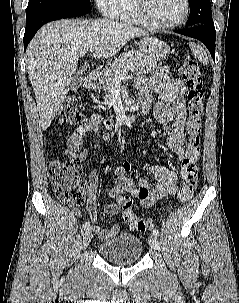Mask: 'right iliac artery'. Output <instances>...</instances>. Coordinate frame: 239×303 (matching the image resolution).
<instances>
[{"instance_id":"1","label":"right iliac artery","mask_w":239,"mask_h":303,"mask_svg":"<svg viewBox=\"0 0 239 303\" xmlns=\"http://www.w3.org/2000/svg\"><path fill=\"white\" fill-rule=\"evenodd\" d=\"M89 226H90V222L89 221H86L83 225H82V229L81 231H86L89 229Z\"/></svg>"}]
</instances>
